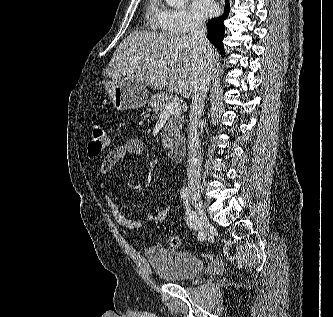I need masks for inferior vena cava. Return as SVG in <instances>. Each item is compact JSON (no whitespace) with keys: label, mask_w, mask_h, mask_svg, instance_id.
<instances>
[{"label":"inferior vena cava","mask_w":333,"mask_h":317,"mask_svg":"<svg viewBox=\"0 0 333 317\" xmlns=\"http://www.w3.org/2000/svg\"><path fill=\"white\" fill-rule=\"evenodd\" d=\"M192 41L207 54L206 71L200 75L192 93L188 126V186L193 189L200 187L201 147L198 123L202 115L204 101L211 82L214 59L211 45L207 39V29L200 22H193L190 27Z\"/></svg>","instance_id":"obj_1"}]
</instances>
